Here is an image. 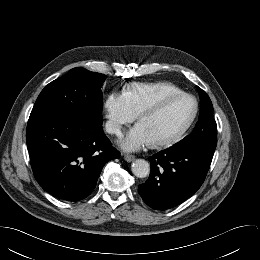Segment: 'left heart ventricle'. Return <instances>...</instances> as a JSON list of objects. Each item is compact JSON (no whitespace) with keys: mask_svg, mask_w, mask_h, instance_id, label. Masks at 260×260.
<instances>
[{"mask_svg":"<svg viewBox=\"0 0 260 260\" xmlns=\"http://www.w3.org/2000/svg\"><path fill=\"white\" fill-rule=\"evenodd\" d=\"M193 102L187 97L167 101L158 112L140 121L153 140L165 138L176 132L187 120Z\"/></svg>","mask_w":260,"mask_h":260,"instance_id":"b2bd125f","label":"left heart ventricle"}]
</instances>
